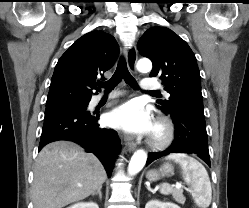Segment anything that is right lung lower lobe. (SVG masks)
I'll use <instances>...</instances> for the list:
<instances>
[{
	"instance_id": "right-lung-lower-lobe-1",
	"label": "right lung lower lobe",
	"mask_w": 249,
	"mask_h": 208,
	"mask_svg": "<svg viewBox=\"0 0 249 208\" xmlns=\"http://www.w3.org/2000/svg\"><path fill=\"white\" fill-rule=\"evenodd\" d=\"M88 103L46 107L39 151L53 141L76 142L99 158L110 177L114 160L120 150V139L116 131L99 127L96 123L99 115L87 111Z\"/></svg>"
}]
</instances>
